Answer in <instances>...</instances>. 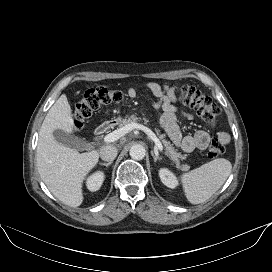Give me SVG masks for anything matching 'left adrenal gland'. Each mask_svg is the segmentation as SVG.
<instances>
[{
    "mask_svg": "<svg viewBox=\"0 0 272 272\" xmlns=\"http://www.w3.org/2000/svg\"><path fill=\"white\" fill-rule=\"evenodd\" d=\"M151 155H152V157H153L155 163H156L157 161H161V160H162V158H161L158 154H154L153 151H151Z\"/></svg>",
    "mask_w": 272,
    "mask_h": 272,
    "instance_id": "1",
    "label": "left adrenal gland"
}]
</instances>
